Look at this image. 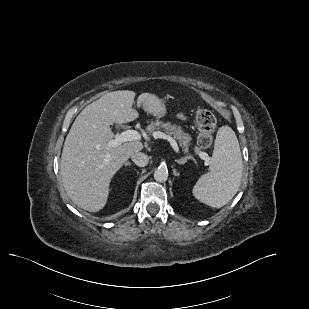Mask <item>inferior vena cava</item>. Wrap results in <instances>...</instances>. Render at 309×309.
Here are the masks:
<instances>
[{"label": "inferior vena cava", "instance_id": "602c4592", "mask_svg": "<svg viewBox=\"0 0 309 309\" xmlns=\"http://www.w3.org/2000/svg\"><path fill=\"white\" fill-rule=\"evenodd\" d=\"M131 159L137 166L140 167L146 166L149 162L148 156L142 152L133 153Z\"/></svg>", "mask_w": 309, "mask_h": 309}]
</instances>
